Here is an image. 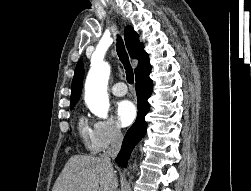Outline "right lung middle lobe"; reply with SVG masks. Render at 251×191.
<instances>
[{
    "mask_svg": "<svg viewBox=\"0 0 251 191\" xmlns=\"http://www.w3.org/2000/svg\"><path fill=\"white\" fill-rule=\"evenodd\" d=\"M74 106H75V104L74 105H70V108L73 109Z\"/></svg>",
    "mask_w": 251,
    "mask_h": 191,
    "instance_id": "right-lung-middle-lobe-1",
    "label": "right lung middle lobe"
}]
</instances>
